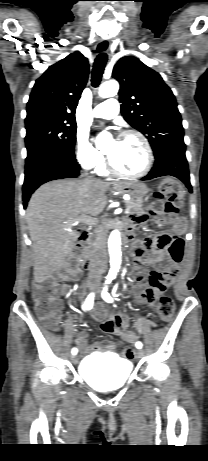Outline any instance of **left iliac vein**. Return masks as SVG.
<instances>
[{
  "instance_id": "left-iliac-vein-1",
  "label": "left iliac vein",
  "mask_w": 208,
  "mask_h": 461,
  "mask_svg": "<svg viewBox=\"0 0 208 461\" xmlns=\"http://www.w3.org/2000/svg\"><path fill=\"white\" fill-rule=\"evenodd\" d=\"M143 355H144V351L142 349H139V350L136 351V356L138 358H142Z\"/></svg>"
}]
</instances>
